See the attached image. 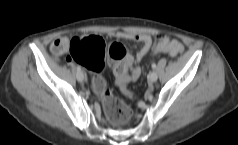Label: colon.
Returning a JSON list of instances; mask_svg holds the SVG:
<instances>
[{
    "instance_id": "5ec220e1",
    "label": "colon",
    "mask_w": 238,
    "mask_h": 145,
    "mask_svg": "<svg viewBox=\"0 0 238 145\" xmlns=\"http://www.w3.org/2000/svg\"><path fill=\"white\" fill-rule=\"evenodd\" d=\"M182 48L169 40H161L154 47V53L164 52L177 56ZM106 56L113 62L114 73L119 87L127 94L128 66L125 61L126 50L118 42L106 47L102 38L97 36L74 37L70 42V57L78 64L95 73L92 79L94 91L100 96L106 117L115 125H123L129 121L132 112L130 107L115 97L104 79L99 75L104 68Z\"/></svg>"
}]
</instances>
